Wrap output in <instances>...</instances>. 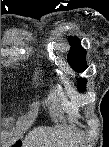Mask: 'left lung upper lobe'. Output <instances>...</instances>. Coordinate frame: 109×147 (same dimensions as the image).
<instances>
[{
	"label": "left lung upper lobe",
	"mask_w": 109,
	"mask_h": 147,
	"mask_svg": "<svg viewBox=\"0 0 109 147\" xmlns=\"http://www.w3.org/2000/svg\"><path fill=\"white\" fill-rule=\"evenodd\" d=\"M71 44V50L68 54V62L77 72H83L87 68L85 61L86 51L81 47L80 41L77 38H69ZM86 79H79L78 89L80 91H85Z\"/></svg>",
	"instance_id": "1"
}]
</instances>
